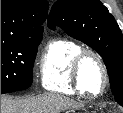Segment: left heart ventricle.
I'll list each match as a JSON object with an SVG mask.
<instances>
[{"instance_id":"obj_1","label":"left heart ventricle","mask_w":123,"mask_h":113,"mask_svg":"<svg viewBox=\"0 0 123 113\" xmlns=\"http://www.w3.org/2000/svg\"><path fill=\"white\" fill-rule=\"evenodd\" d=\"M82 80L86 92L97 93L103 83L102 72L99 64L93 58H87L82 66Z\"/></svg>"}]
</instances>
